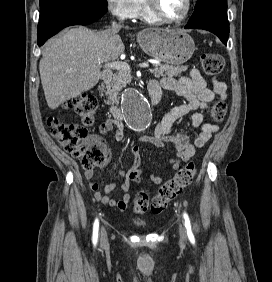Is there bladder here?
<instances>
[{"label":"bladder","instance_id":"bladder-1","mask_svg":"<svg viewBox=\"0 0 272 282\" xmlns=\"http://www.w3.org/2000/svg\"><path fill=\"white\" fill-rule=\"evenodd\" d=\"M135 224L141 225V224H143V222L142 221H135Z\"/></svg>","mask_w":272,"mask_h":282}]
</instances>
